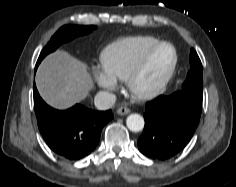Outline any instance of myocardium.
Segmentation results:
<instances>
[{"instance_id": "1", "label": "myocardium", "mask_w": 236, "mask_h": 187, "mask_svg": "<svg viewBox=\"0 0 236 187\" xmlns=\"http://www.w3.org/2000/svg\"><path fill=\"white\" fill-rule=\"evenodd\" d=\"M168 46L171 48L173 52V60L171 65L169 66L168 70L164 74V76L161 78V80L151 89L148 90H140L136 87L137 80L143 73L149 59L151 56L161 47ZM178 64V54L176 48L169 42H158L157 44L150 47L138 60L134 68L131 70V72L128 74L125 82L126 87L129 93L136 99L139 100H151L159 96L167 87L170 80L172 79L176 67Z\"/></svg>"}]
</instances>
